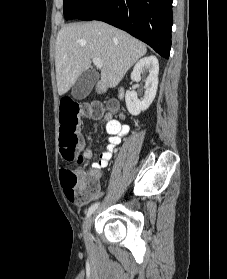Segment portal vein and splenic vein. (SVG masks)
<instances>
[{
	"instance_id": "portal-vein-and-splenic-vein-1",
	"label": "portal vein and splenic vein",
	"mask_w": 227,
	"mask_h": 279,
	"mask_svg": "<svg viewBox=\"0 0 227 279\" xmlns=\"http://www.w3.org/2000/svg\"><path fill=\"white\" fill-rule=\"evenodd\" d=\"M93 63L96 67L102 68V61L99 58H93Z\"/></svg>"
}]
</instances>
